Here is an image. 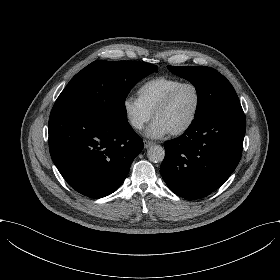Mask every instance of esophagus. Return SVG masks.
<instances>
[{"instance_id": "obj_1", "label": "esophagus", "mask_w": 280, "mask_h": 280, "mask_svg": "<svg viewBox=\"0 0 280 280\" xmlns=\"http://www.w3.org/2000/svg\"><path fill=\"white\" fill-rule=\"evenodd\" d=\"M143 144H144V148L147 149V148H149L150 146H152V145L154 144V142L149 141V140H144V141H143Z\"/></svg>"}]
</instances>
